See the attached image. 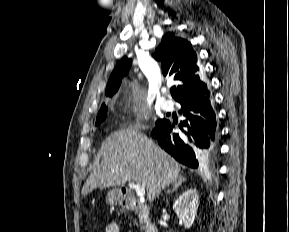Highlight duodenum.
Returning <instances> with one entry per match:
<instances>
[{
    "mask_svg": "<svg viewBox=\"0 0 289 232\" xmlns=\"http://www.w3.org/2000/svg\"><path fill=\"white\" fill-rule=\"evenodd\" d=\"M118 200L124 208L136 211L144 218L146 222L145 232H158L156 224L151 219L149 207L139 203L132 191L122 189L118 194Z\"/></svg>",
    "mask_w": 289,
    "mask_h": 232,
    "instance_id": "duodenum-1",
    "label": "duodenum"
}]
</instances>
